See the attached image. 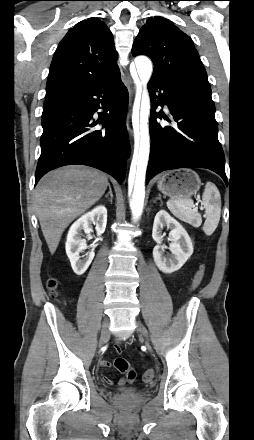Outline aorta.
<instances>
[{"label":"aorta","mask_w":254,"mask_h":440,"mask_svg":"<svg viewBox=\"0 0 254 440\" xmlns=\"http://www.w3.org/2000/svg\"><path fill=\"white\" fill-rule=\"evenodd\" d=\"M137 73L144 87L141 99L133 107L132 124L135 133V149L129 173V204L134 221L143 212L145 199V176L150 153L148 116L150 98L146 85L152 75V62L145 56L135 58Z\"/></svg>","instance_id":"1"}]
</instances>
